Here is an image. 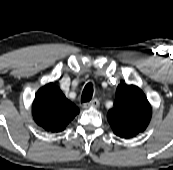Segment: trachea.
<instances>
[{
    "instance_id": "trachea-1",
    "label": "trachea",
    "mask_w": 173,
    "mask_h": 170,
    "mask_svg": "<svg viewBox=\"0 0 173 170\" xmlns=\"http://www.w3.org/2000/svg\"><path fill=\"white\" fill-rule=\"evenodd\" d=\"M93 96V85L92 83H87L83 89L81 101L82 102H89Z\"/></svg>"
}]
</instances>
